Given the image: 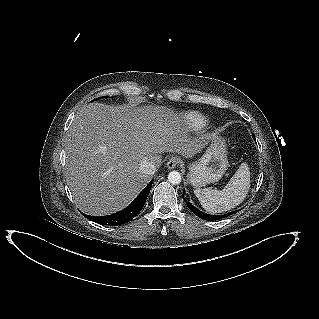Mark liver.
Segmentation results:
<instances>
[{"label": "liver", "mask_w": 319, "mask_h": 319, "mask_svg": "<svg viewBox=\"0 0 319 319\" xmlns=\"http://www.w3.org/2000/svg\"><path fill=\"white\" fill-rule=\"evenodd\" d=\"M197 147L170 108L90 104L74 117L64 140L66 181L82 212L109 215L128 206L151 180L140 170L144 158L160 166L159 154L190 157Z\"/></svg>", "instance_id": "obj_1"}]
</instances>
